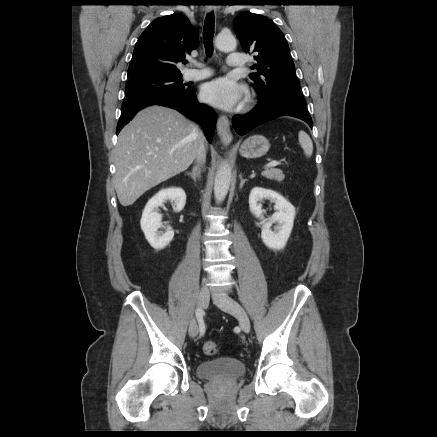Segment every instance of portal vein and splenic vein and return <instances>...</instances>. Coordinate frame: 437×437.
Wrapping results in <instances>:
<instances>
[{
	"label": "portal vein and splenic vein",
	"instance_id": "portal-vein-and-splenic-vein-1",
	"mask_svg": "<svg viewBox=\"0 0 437 437\" xmlns=\"http://www.w3.org/2000/svg\"><path fill=\"white\" fill-rule=\"evenodd\" d=\"M277 165H279V162L272 161V162H269L268 164H266L265 169L273 168V167H276Z\"/></svg>",
	"mask_w": 437,
	"mask_h": 437
}]
</instances>
